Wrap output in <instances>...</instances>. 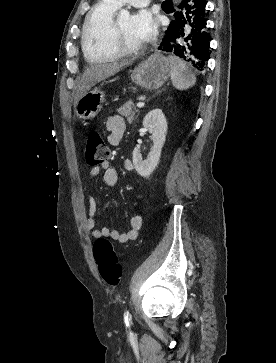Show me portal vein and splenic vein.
<instances>
[{
  "mask_svg": "<svg viewBox=\"0 0 276 363\" xmlns=\"http://www.w3.org/2000/svg\"><path fill=\"white\" fill-rule=\"evenodd\" d=\"M144 105H145V104H144V102H139V103L137 104V107H138V108H142V107H144Z\"/></svg>",
  "mask_w": 276,
  "mask_h": 363,
  "instance_id": "1",
  "label": "portal vein and splenic vein"
}]
</instances>
